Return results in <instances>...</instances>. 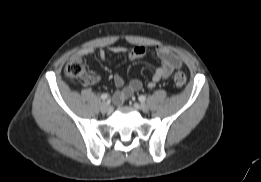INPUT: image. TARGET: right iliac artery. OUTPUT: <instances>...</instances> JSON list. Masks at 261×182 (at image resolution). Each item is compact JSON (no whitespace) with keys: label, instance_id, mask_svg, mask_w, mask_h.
<instances>
[{"label":"right iliac artery","instance_id":"right-iliac-artery-1","mask_svg":"<svg viewBox=\"0 0 261 182\" xmlns=\"http://www.w3.org/2000/svg\"><path fill=\"white\" fill-rule=\"evenodd\" d=\"M101 99H102L103 101L108 100V99H109V95H108L107 93H103V94L101 95Z\"/></svg>","mask_w":261,"mask_h":182}]
</instances>
